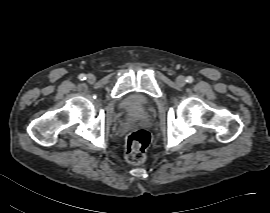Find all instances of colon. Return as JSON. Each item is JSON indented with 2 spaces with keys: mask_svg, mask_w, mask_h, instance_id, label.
<instances>
[{
  "mask_svg": "<svg viewBox=\"0 0 270 213\" xmlns=\"http://www.w3.org/2000/svg\"><path fill=\"white\" fill-rule=\"evenodd\" d=\"M150 143V134L145 129L130 132L125 142V158L130 164L141 163Z\"/></svg>",
  "mask_w": 270,
  "mask_h": 213,
  "instance_id": "5ec220e1",
  "label": "colon"
}]
</instances>
